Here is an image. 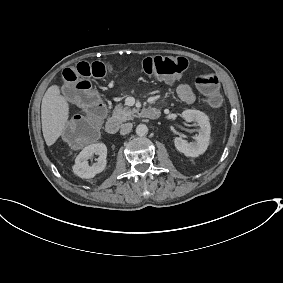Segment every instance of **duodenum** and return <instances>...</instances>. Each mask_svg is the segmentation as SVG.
Returning a JSON list of instances; mask_svg holds the SVG:
<instances>
[{"instance_id":"1","label":"duodenum","mask_w":283,"mask_h":283,"mask_svg":"<svg viewBox=\"0 0 283 283\" xmlns=\"http://www.w3.org/2000/svg\"><path fill=\"white\" fill-rule=\"evenodd\" d=\"M161 115V111L158 108L148 109L144 113V117L147 119H158ZM106 131L108 134L113 135L118 131L119 125L115 119H109L106 122Z\"/></svg>"}]
</instances>
